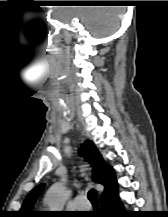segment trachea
Returning <instances> with one entry per match:
<instances>
[{
  "mask_svg": "<svg viewBox=\"0 0 168 217\" xmlns=\"http://www.w3.org/2000/svg\"><path fill=\"white\" fill-rule=\"evenodd\" d=\"M88 199L93 205H98L97 192L95 190H90L88 192Z\"/></svg>",
  "mask_w": 168,
  "mask_h": 217,
  "instance_id": "1",
  "label": "trachea"
}]
</instances>
